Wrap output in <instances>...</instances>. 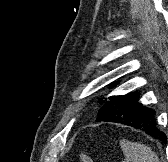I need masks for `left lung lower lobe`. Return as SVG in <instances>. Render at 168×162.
Listing matches in <instances>:
<instances>
[{
    "mask_svg": "<svg viewBox=\"0 0 168 162\" xmlns=\"http://www.w3.org/2000/svg\"><path fill=\"white\" fill-rule=\"evenodd\" d=\"M109 99L110 101L103 106L102 116L96 121L115 122L131 126L159 139L164 144L167 143V137L156 125L155 111L138 103V92L114 96Z\"/></svg>",
    "mask_w": 168,
    "mask_h": 162,
    "instance_id": "left-lung-lower-lobe-1",
    "label": "left lung lower lobe"
}]
</instances>
